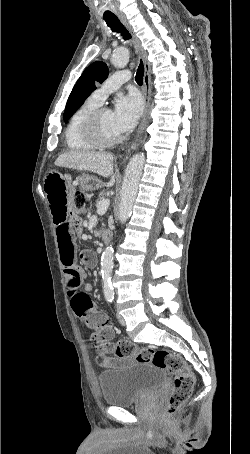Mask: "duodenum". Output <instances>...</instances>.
I'll return each mask as SVG.
<instances>
[{
  "instance_id": "410a0bca",
  "label": "duodenum",
  "mask_w": 250,
  "mask_h": 454,
  "mask_svg": "<svg viewBox=\"0 0 250 454\" xmlns=\"http://www.w3.org/2000/svg\"><path fill=\"white\" fill-rule=\"evenodd\" d=\"M101 237L105 244H110L113 240V235L109 230L101 231Z\"/></svg>"
}]
</instances>
